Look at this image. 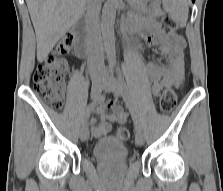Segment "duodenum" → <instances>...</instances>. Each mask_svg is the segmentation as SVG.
I'll list each match as a JSON object with an SVG mask.
<instances>
[{
	"label": "duodenum",
	"mask_w": 223,
	"mask_h": 191,
	"mask_svg": "<svg viewBox=\"0 0 223 191\" xmlns=\"http://www.w3.org/2000/svg\"><path fill=\"white\" fill-rule=\"evenodd\" d=\"M73 32L77 35V37L81 40V42L78 44L77 53H80L82 55L87 54V46H86V40L89 37V32L86 28L83 27L80 21H77L74 23L73 26Z\"/></svg>",
	"instance_id": "obj_1"
}]
</instances>
